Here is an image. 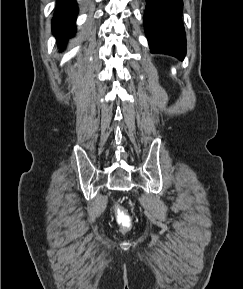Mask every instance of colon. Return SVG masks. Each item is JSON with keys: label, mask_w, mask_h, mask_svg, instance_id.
<instances>
[{"label": "colon", "mask_w": 243, "mask_h": 289, "mask_svg": "<svg viewBox=\"0 0 243 289\" xmlns=\"http://www.w3.org/2000/svg\"><path fill=\"white\" fill-rule=\"evenodd\" d=\"M114 211L118 224L121 226L123 231H128L132 225V220L127 211L120 205L114 206Z\"/></svg>", "instance_id": "5ec220e1"}]
</instances>
